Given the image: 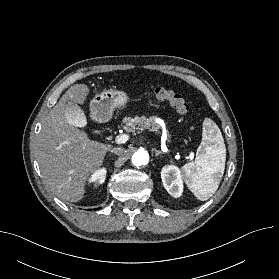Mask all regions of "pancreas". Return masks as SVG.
<instances>
[{"label": "pancreas", "mask_w": 279, "mask_h": 279, "mask_svg": "<svg viewBox=\"0 0 279 279\" xmlns=\"http://www.w3.org/2000/svg\"><path fill=\"white\" fill-rule=\"evenodd\" d=\"M123 129L127 132H134L140 128H149L151 127L154 131L159 129V125L155 121V117L147 118L145 116H135L134 118L125 117L123 119Z\"/></svg>", "instance_id": "obj_1"}]
</instances>
